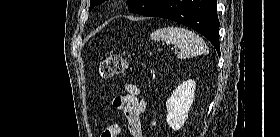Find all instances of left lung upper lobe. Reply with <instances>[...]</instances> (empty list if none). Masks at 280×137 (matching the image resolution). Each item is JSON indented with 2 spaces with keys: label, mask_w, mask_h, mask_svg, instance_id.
I'll return each mask as SVG.
<instances>
[{
  "label": "left lung upper lobe",
  "mask_w": 280,
  "mask_h": 137,
  "mask_svg": "<svg viewBox=\"0 0 280 137\" xmlns=\"http://www.w3.org/2000/svg\"><path fill=\"white\" fill-rule=\"evenodd\" d=\"M103 1L105 0H91L89 9L94 8L96 5L102 3ZM160 1L161 0H129L128 8L132 13L143 15Z\"/></svg>",
  "instance_id": "5c2ea615"
}]
</instances>
